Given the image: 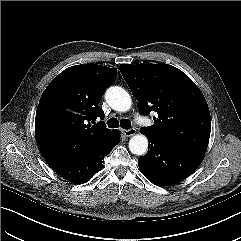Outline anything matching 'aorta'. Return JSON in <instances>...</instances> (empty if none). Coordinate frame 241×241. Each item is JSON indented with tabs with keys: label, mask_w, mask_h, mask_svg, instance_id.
<instances>
[{
	"label": "aorta",
	"mask_w": 241,
	"mask_h": 241,
	"mask_svg": "<svg viewBox=\"0 0 241 241\" xmlns=\"http://www.w3.org/2000/svg\"><path fill=\"white\" fill-rule=\"evenodd\" d=\"M105 99L109 106L119 112L128 111L132 105L129 93L122 87L113 86L107 89ZM148 139L143 134L134 135L129 141L131 153L141 156L147 152Z\"/></svg>",
	"instance_id": "1"
}]
</instances>
